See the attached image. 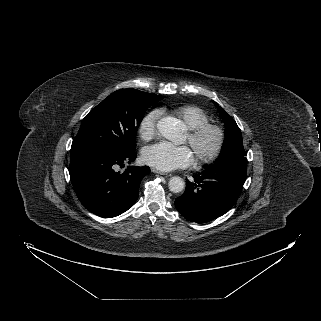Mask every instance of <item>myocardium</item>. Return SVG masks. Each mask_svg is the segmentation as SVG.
<instances>
[{"label":"myocardium","instance_id":"f54148a6","mask_svg":"<svg viewBox=\"0 0 321 321\" xmlns=\"http://www.w3.org/2000/svg\"><path fill=\"white\" fill-rule=\"evenodd\" d=\"M209 134L215 136V143L209 151H202L201 144ZM187 136V141L195 153L198 164H212L223 153L226 144V132L224 128L217 123L206 122L193 129H189Z\"/></svg>","mask_w":321,"mask_h":321}]
</instances>
